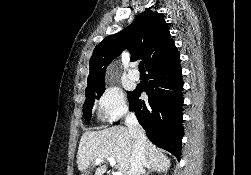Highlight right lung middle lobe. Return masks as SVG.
<instances>
[{
    "label": "right lung middle lobe",
    "instance_id": "dd1d6c3e",
    "mask_svg": "<svg viewBox=\"0 0 251 175\" xmlns=\"http://www.w3.org/2000/svg\"><path fill=\"white\" fill-rule=\"evenodd\" d=\"M105 90V86L86 88V100L83 106L85 119L88 121L91 118V110L95 99H99Z\"/></svg>",
    "mask_w": 251,
    "mask_h": 175
}]
</instances>
